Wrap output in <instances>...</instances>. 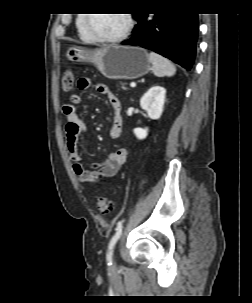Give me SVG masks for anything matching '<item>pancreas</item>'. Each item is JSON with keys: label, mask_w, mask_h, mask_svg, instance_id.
<instances>
[{"label": "pancreas", "mask_w": 252, "mask_h": 303, "mask_svg": "<svg viewBox=\"0 0 252 303\" xmlns=\"http://www.w3.org/2000/svg\"><path fill=\"white\" fill-rule=\"evenodd\" d=\"M121 88H122L123 90H127V87H126V85H125L124 83L121 84Z\"/></svg>", "instance_id": "1"}]
</instances>
